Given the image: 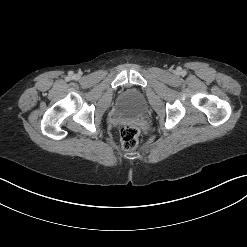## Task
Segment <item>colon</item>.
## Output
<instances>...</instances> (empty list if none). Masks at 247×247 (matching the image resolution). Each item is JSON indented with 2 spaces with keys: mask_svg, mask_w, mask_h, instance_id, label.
I'll list each match as a JSON object with an SVG mask.
<instances>
[{
  "mask_svg": "<svg viewBox=\"0 0 247 247\" xmlns=\"http://www.w3.org/2000/svg\"><path fill=\"white\" fill-rule=\"evenodd\" d=\"M140 130L132 124H122L119 126L121 146L124 150H132L137 146Z\"/></svg>",
  "mask_w": 247,
  "mask_h": 247,
  "instance_id": "colon-1",
  "label": "colon"
}]
</instances>
